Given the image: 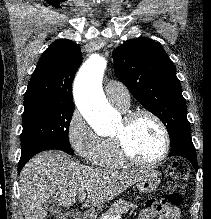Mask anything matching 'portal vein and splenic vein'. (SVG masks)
I'll list each match as a JSON object with an SVG mask.
<instances>
[{"label":"portal vein and splenic vein","mask_w":211,"mask_h":219,"mask_svg":"<svg viewBox=\"0 0 211 219\" xmlns=\"http://www.w3.org/2000/svg\"><path fill=\"white\" fill-rule=\"evenodd\" d=\"M78 198H79V200L83 201L86 198V194L85 193L79 194ZM111 219H121V217L120 216H114V217H111Z\"/></svg>","instance_id":"portal-vein-and-splenic-vein-1"}]
</instances>
